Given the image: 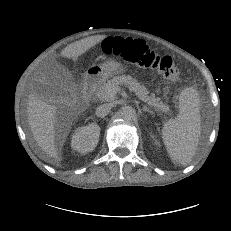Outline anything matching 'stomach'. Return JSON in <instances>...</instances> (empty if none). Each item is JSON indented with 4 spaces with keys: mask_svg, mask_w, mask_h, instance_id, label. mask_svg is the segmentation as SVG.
I'll use <instances>...</instances> for the list:
<instances>
[{
    "mask_svg": "<svg viewBox=\"0 0 231 231\" xmlns=\"http://www.w3.org/2000/svg\"><path fill=\"white\" fill-rule=\"evenodd\" d=\"M124 71L122 65L116 60H107L99 65H92L86 72L88 79L96 81H104L112 75L122 73Z\"/></svg>",
    "mask_w": 231,
    "mask_h": 231,
    "instance_id": "obj_1",
    "label": "stomach"
}]
</instances>
